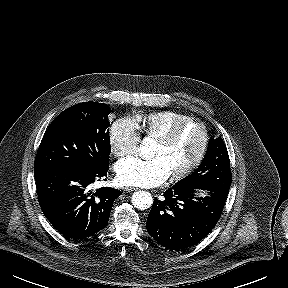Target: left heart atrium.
<instances>
[{"label":"left heart atrium","instance_id":"left-heart-atrium-1","mask_svg":"<svg viewBox=\"0 0 288 288\" xmlns=\"http://www.w3.org/2000/svg\"><path fill=\"white\" fill-rule=\"evenodd\" d=\"M117 180L126 186L155 187L164 183L170 171L163 158L126 157L115 166Z\"/></svg>","mask_w":288,"mask_h":288}]
</instances>
